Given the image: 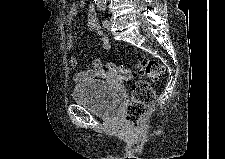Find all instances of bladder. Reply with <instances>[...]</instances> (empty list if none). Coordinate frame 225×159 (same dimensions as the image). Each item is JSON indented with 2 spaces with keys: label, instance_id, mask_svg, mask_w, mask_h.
<instances>
[{
  "label": "bladder",
  "instance_id": "bladder-1",
  "mask_svg": "<svg viewBox=\"0 0 225 159\" xmlns=\"http://www.w3.org/2000/svg\"><path fill=\"white\" fill-rule=\"evenodd\" d=\"M73 101L104 120L117 118L121 98L116 90L101 80H93L76 86L72 91Z\"/></svg>",
  "mask_w": 225,
  "mask_h": 159
}]
</instances>
